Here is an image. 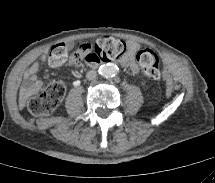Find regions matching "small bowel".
Here are the masks:
<instances>
[{
	"mask_svg": "<svg viewBox=\"0 0 215 183\" xmlns=\"http://www.w3.org/2000/svg\"><path fill=\"white\" fill-rule=\"evenodd\" d=\"M138 50L139 45L136 42L128 41L126 54L120 60L121 65L128 68L131 72H136L138 70L135 62ZM80 61L81 59L79 57L71 56L70 63L72 65H76ZM41 64V62H37L28 69L20 86L19 100L23 106L26 105L28 100L42 88V81L37 76V72L39 71Z\"/></svg>",
	"mask_w": 215,
	"mask_h": 183,
	"instance_id": "1",
	"label": "small bowel"
}]
</instances>
